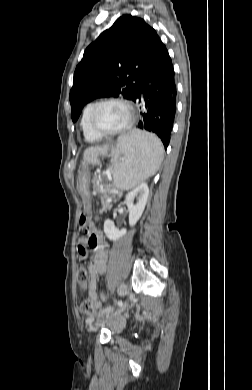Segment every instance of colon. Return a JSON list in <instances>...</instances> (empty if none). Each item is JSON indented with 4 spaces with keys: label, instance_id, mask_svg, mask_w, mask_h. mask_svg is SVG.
I'll return each mask as SVG.
<instances>
[{
    "label": "colon",
    "instance_id": "colon-1",
    "mask_svg": "<svg viewBox=\"0 0 252 390\" xmlns=\"http://www.w3.org/2000/svg\"><path fill=\"white\" fill-rule=\"evenodd\" d=\"M77 281L81 287H86L89 281V273L87 269L83 266L80 265L77 270ZM104 298V294L102 295ZM80 311L86 314H91L94 312V306L93 303L90 299L85 298L81 301L80 303Z\"/></svg>",
    "mask_w": 252,
    "mask_h": 390
}]
</instances>
